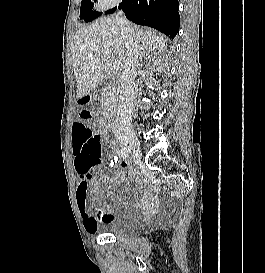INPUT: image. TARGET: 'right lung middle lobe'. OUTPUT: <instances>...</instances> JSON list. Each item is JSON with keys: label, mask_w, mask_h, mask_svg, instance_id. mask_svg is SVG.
Wrapping results in <instances>:
<instances>
[{"label": "right lung middle lobe", "mask_w": 265, "mask_h": 273, "mask_svg": "<svg viewBox=\"0 0 265 273\" xmlns=\"http://www.w3.org/2000/svg\"><path fill=\"white\" fill-rule=\"evenodd\" d=\"M96 2V0H94ZM115 8L108 10L105 14H110L114 12ZM101 13L93 11V3L91 0H82L81 9H80V19H83L85 22H90L96 17L100 16Z\"/></svg>", "instance_id": "dd1d6c3e"}]
</instances>
